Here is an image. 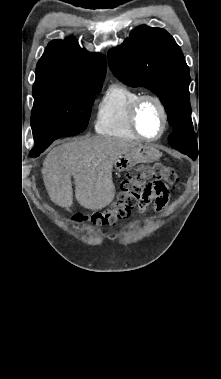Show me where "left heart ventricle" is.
<instances>
[{"mask_svg":"<svg viewBox=\"0 0 221 379\" xmlns=\"http://www.w3.org/2000/svg\"><path fill=\"white\" fill-rule=\"evenodd\" d=\"M138 125L141 132L154 137L159 134L162 127V116L159 107L153 101H146L138 114Z\"/></svg>","mask_w":221,"mask_h":379,"instance_id":"1","label":"left heart ventricle"}]
</instances>
